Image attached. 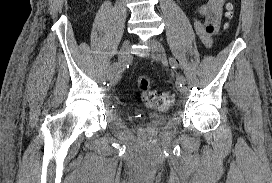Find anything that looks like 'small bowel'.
I'll return each instance as SVG.
<instances>
[{
  "instance_id": "1",
  "label": "small bowel",
  "mask_w": 272,
  "mask_h": 183,
  "mask_svg": "<svg viewBox=\"0 0 272 183\" xmlns=\"http://www.w3.org/2000/svg\"><path fill=\"white\" fill-rule=\"evenodd\" d=\"M225 2L226 0H204L197 9L198 16L204 21L196 17L193 25L198 38L206 48L212 46V34L220 26Z\"/></svg>"
}]
</instances>
